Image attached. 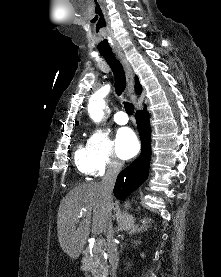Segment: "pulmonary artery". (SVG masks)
Instances as JSON below:
<instances>
[{"label": "pulmonary artery", "instance_id": "1", "mask_svg": "<svg viewBox=\"0 0 221 277\" xmlns=\"http://www.w3.org/2000/svg\"><path fill=\"white\" fill-rule=\"evenodd\" d=\"M113 119L119 125H125L128 122V117L124 111L116 112Z\"/></svg>", "mask_w": 221, "mask_h": 277}]
</instances>
